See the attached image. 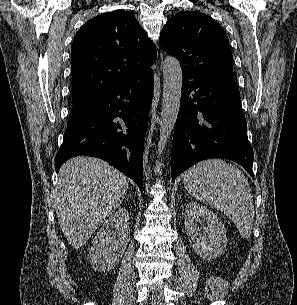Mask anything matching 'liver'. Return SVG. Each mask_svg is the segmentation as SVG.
<instances>
[{
  "label": "liver",
  "instance_id": "liver-1",
  "mask_svg": "<svg viewBox=\"0 0 297 305\" xmlns=\"http://www.w3.org/2000/svg\"><path fill=\"white\" fill-rule=\"evenodd\" d=\"M126 177L107 162L78 156L60 168L54 206L60 228L74 248L82 247L122 203Z\"/></svg>",
  "mask_w": 297,
  "mask_h": 305
}]
</instances>
